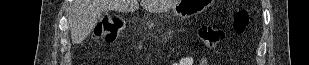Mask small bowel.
I'll use <instances>...</instances> for the list:
<instances>
[{"mask_svg":"<svg viewBox=\"0 0 309 65\" xmlns=\"http://www.w3.org/2000/svg\"><path fill=\"white\" fill-rule=\"evenodd\" d=\"M194 61L191 57H183L178 62L173 63L172 65H193ZM200 65H207V60L204 58L201 60Z\"/></svg>","mask_w":309,"mask_h":65,"instance_id":"c3829d8e","label":"small bowel"}]
</instances>
